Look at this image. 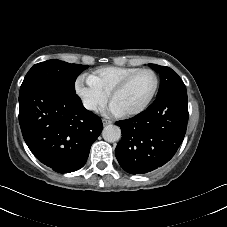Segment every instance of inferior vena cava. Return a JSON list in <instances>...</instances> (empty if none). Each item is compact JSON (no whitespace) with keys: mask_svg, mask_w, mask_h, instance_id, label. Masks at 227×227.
<instances>
[{"mask_svg":"<svg viewBox=\"0 0 227 227\" xmlns=\"http://www.w3.org/2000/svg\"><path fill=\"white\" fill-rule=\"evenodd\" d=\"M84 106H85V108L88 109V110H93V109L95 108V105L92 104V103H90V102L84 103Z\"/></svg>","mask_w":227,"mask_h":227,"instance_id":"obj_1","label":"inferior vena cava"}]
</instances>
